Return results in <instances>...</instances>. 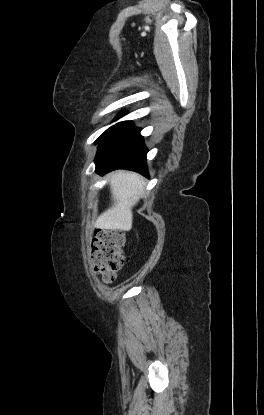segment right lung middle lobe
<instances>
[{
	"mask_svg": "<svg viewBox=\"0 0 264 415\" xmlns=\"http://www.w3.org/2000/svg\"><path fill=\"white\" fill-rule=\"evenodd\" d=\"M123 114H124V113H121L120 115H118V116H117V118H119V117L123 116ZM109 129H110V128H109ZM109 129H108V130H109ZM108 130H106V131H105V132H104V133H103V134H102V135H101V136L97 139V141H96V142H98V141H99V140H100V139L104 136V134H105Z\"/></svg>",
	"mask_w": 264,
	"mask_h": 415,
	"instance_id": "obj_1",
	"label": "right lung middle lobe"
}]
</instances>
